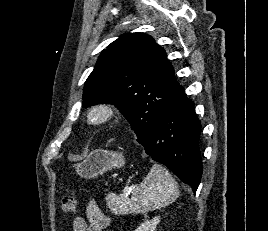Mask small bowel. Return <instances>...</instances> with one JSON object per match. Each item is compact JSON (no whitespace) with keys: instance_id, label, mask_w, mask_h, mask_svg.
<instances>
[{"instance_id":"small-bowel-1","label":"small bowel","mask_w":268,"mask_h":231,"mask_svg":"<svg viewBox=\"0 0 268 231\" xmlns=\"http://www.w3.org/2000/svg\"><path fill=\"white\" fill-rule=\"evenodd\" d=\"M109 224V215L101 209L95 198H90L87 202L86 220L75 219L73 229L74 231H103Z\"/></svg>"}]
</instances>
